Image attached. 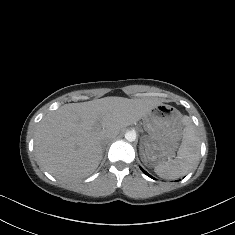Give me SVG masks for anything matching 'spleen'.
Returning a JSON list of instances; mask_svg holds the SVG:
<instances>
[{
	"instance_id": "obj_1",
	"label": "spleen",
	"mask_w": 235,
	"mask_h": 235,
	"mask_svg": "<svg viewBox=\"0 0 235 235\" xmlns=\"http://www.w3.org/2000/svg\"><path fill=\"white\" fill-rule=\"evenodd\" d=\"M183 139L177 157L157 164L154 172L163 179H177L197 167L200 157V140L196 127L188 116L183 117Z\"/></svg>"
}]
</instances>
